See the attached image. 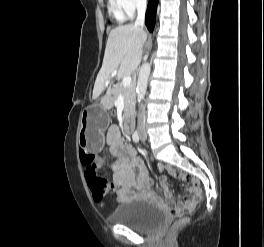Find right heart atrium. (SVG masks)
Returning <instances> with one entry per match:
<instances>
[{
  "mask_svg": "<svg viewBox=\"0 0 264 247\" xmlns=\"http://www.w3.org/2000/svg\"><path fill=\"white\" fill-rule=\"evenodd\" d=\"M115 2L127 16H132L146 5V0H115Z\"/></svg>",
  "mask_w": 264,
  "mask_h": 247,
  "instance_id": "1",
  "label": "right heart atrium"
}]
</instances>
